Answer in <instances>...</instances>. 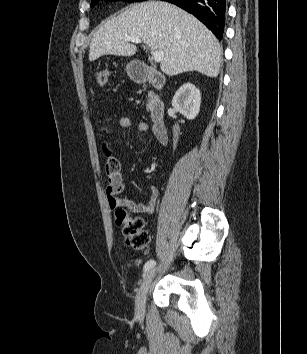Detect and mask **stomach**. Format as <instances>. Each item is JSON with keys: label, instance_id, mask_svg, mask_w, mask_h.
I'll return each instance as SVG.
<instances>
[{"label": "stomach", "instance_id": "0dacf381", "mask_svg": "<svg viewBox=\"0 0 307 354\" xmlns=\"http://www.w3.org/2000/svg\"><path fill=\"white\" fill-rule=\"evenodd\" d=\"M126 71L131 78H136L140 74L138 65L134 61H132L126 65Z\"/></svg>", "mask_w": 307, "mask_h": 354}]
</instances>
